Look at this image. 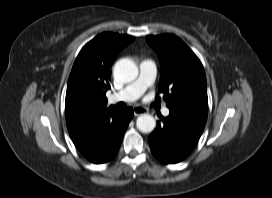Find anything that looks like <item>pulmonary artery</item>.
<instances>
[{
	"label": "pulmonary artery",
	"mask_w": 272,
	"mask_h": 198,
	"mask_svg": "<svg viewBox=\"0 0 272 198\" xmlns=\"http://www.w3.org/2000/svg\"><path fill=\"white\" fill-rule=\"evenodd\" d=\"M156 76V65L152 60L145 59L140 63V76L134 82L128 84L122 90L109 96L111 103L133 102L139 99L144 92L153 85ZM164 116L169 115V109L162 110Z\"/></svg>",
	"instance_id": "e3ab8cb5"
}]
</instances>
